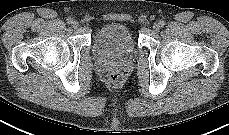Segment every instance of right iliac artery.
<instances>
[{"label":"right iliac artery","instance_id":"1","mask_svg":"<svg viewBox=\"0 0 229 135\" xmlns=\"http://www.w3.org/2000/svg\"><path fill=\"white\" fill-rule=\"evenodd\" d=\"M72 22H73V19L71 17L67 18V23L68 24H72Z\"/></svg>","mask_w":229,"mask_h":135}]
</instances>
